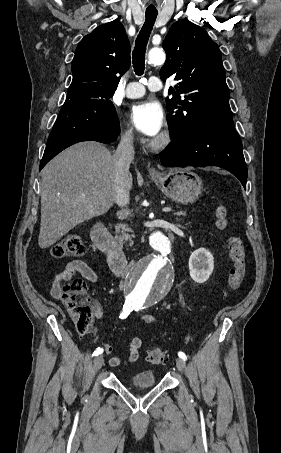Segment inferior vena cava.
<instances>
[{
    "label": "inferior vena cava",
    "mask_w": 281,
    "mask_h": 453,
    "mask_svg": "<svg viewBox=\"0 0 281 453\" xmlns=\"http://www.w3.org/2000/svg\"><path fill=\"white\" fill-rule=\"evenodd\" d=\"M113 158L116 162L115 170V192L116 202L119 206H126L129 204V180L128 176L130 162L134 158L133 134L132 132H125L123 134L114 154Z\"/></svg>",
    "instance_id": "1"
}]
</instances>
